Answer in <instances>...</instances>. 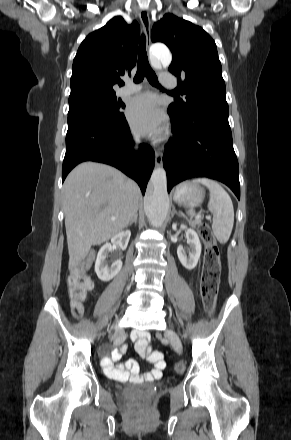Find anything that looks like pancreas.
<instances>
[{
	"instance_id": "1",
	"label": "pancreas",
	"mask_w": 291,
	"mask_h": 440,
	"mask_svg": "<svg viewBox=\"0 0 291 440\" xmlns=\"http://www.w3.org/2000/svg\"><path fill=\"white\" fill-rule=\"evenodd\" d=\"M189 225L192 227L200 226V225H202L201 219L197 218L193 221H189Z\"/></svg>"
}]
</instances>
